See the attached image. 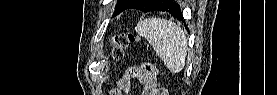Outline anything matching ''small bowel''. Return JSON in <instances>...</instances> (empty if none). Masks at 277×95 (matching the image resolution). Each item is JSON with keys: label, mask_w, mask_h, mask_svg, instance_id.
<instances>
[{"label": "small bowel", "mask_w": 277, "mask_h": 95, "mask_svg": "<svg viewBox=\"0 0 277 95\" xmlns=\"http://www.w3.org/2000/svg\"><path fill=\"white\" fill-rule=\"evenodd\" d=\"M153 66L144 65L141 68L131 67L127 69V74L117 82L118 91H111L110 94H131V78L139 77L143 84L142 95H165V89L159 87L153 79Z\"/></svg>", "instance_id": "1"}]
</instances>
